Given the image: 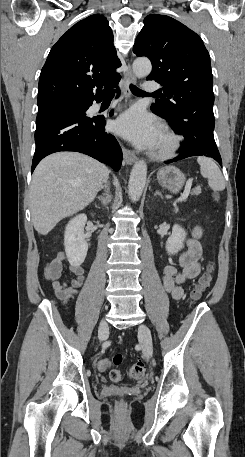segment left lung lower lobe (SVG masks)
<instances>
[{
    "label": "left lung lower lobe",
    "instance_id": "left-lung-lower-lobe-1",
    "mask_svg": "<svg viewBox=\"0 0 245 457\" xmlns=\"http://www.w3.org/2000/svg\"><path fill=\"white\" fill-rule=\"evenodd\" d=\"M153 113L159 115L151 106ZM171 128L178 134L185 137L182 142V151L176 158L166 161L172 163L191 156H207L215 159L221 166L222 160L216 146L214 130L213 111H200L178 115L174 120L169 121Z\"/></svg>",
    "mask_w": 245,
    "mask_h": 457
}]
</instances>
